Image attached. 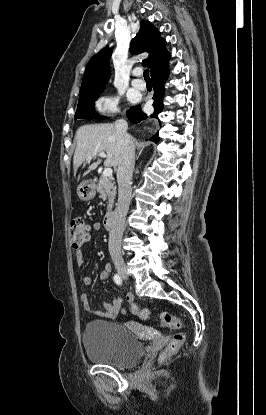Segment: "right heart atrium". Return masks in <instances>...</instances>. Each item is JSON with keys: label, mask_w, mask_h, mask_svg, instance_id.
I'll return each mask as SVG.
<instances>
[{"label": "right heart atrium", "mask_w": 266, "mask_h": 415, "mask_svg": "<svg viewBox=\"0 0 266 415\" xmlns=\"http://www.w3.org/2000/svg\"><path fill=\"white\" fill-rule=\"evenodd\" d=\"M118 99L116 97H103L96 103V107L101 112L117 111Z\"/></svg>", "instance_id": "d8ad5b80"}]
</instances>
